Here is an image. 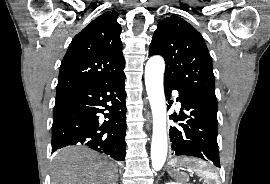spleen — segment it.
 Here are the masks:
<instances>
[{"mask_svg": "<svg viewBox=\"0 0 270 184\" xmlns=\"http://www.w3.org/2000/svg\"><path fill=\"white\" fill-rule=\"evenodd\" d=\"M182 161L184 164L185 159ZM189 168L194 170L201 178L204 179V184H220L218 174L212 169L208 168L206 163L199 161L195 165H191Z\"/></svg>", "mask_w": 270, "mask_h": 184, "instance_id": "obj_1", "label": "spleen"}]
</instances>
